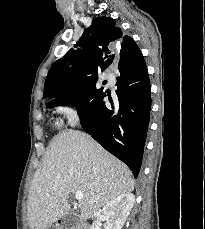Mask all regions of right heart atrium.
<instances>
[{
	"instance_id": "right-heart-atrium-1",
	"label": "right heart atrium",
	"mask_w": 205,
	"mask_h": 229,
	"mask_svg": "<svg viewBox=\"0 0 205 229\" xmlns=\"http://www.w3.org/2000/svg\"><path fill=\"white\" fill-rule=\"evenodd\" d=\"M56 110L62 122L75 126L81 119V106L72 99H64L57 103Z\"/></svg>"
}]
</instances>
